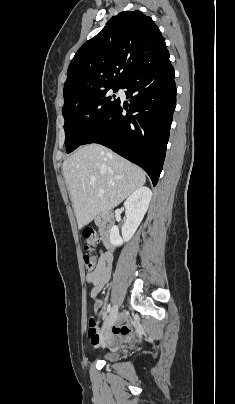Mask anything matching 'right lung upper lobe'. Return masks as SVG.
I'll return each mask as SVG.
<instances>
[{"instance_id":"cb5924a9","label":"right lung upper lobe","mask_w":235,"mask_h":404,"mask_svg":"<svg viewBox=\"0 0 235 404\" xmlns=\"http://www.w3.org/2000/svg\"><path fill=\"white\" fill-rule=\"evenodd\" d=\"M169 56L153 20L140 11H123L76 52L64 85V102L122 85L131 75Z\"/></svg>"}]
</instances>
